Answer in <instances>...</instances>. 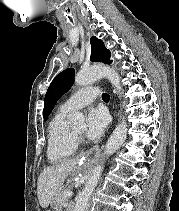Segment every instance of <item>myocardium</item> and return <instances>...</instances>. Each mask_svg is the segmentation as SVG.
I'll list each match as a JSON object with an SVG mask.
<instances>
[{
    "label": "myocardium",
    "instance_id": "f54148a6",
    "mask_svg": "<svg viewBox=\"0 0 179 211\" xmlns=\"http://www.w3.org/2000/svg\"><path fill=\"white\" fill-rule=\"evenodd\" d=\"M72 135H73L76 145H79L82 142L81 135L77 134L74 130H72Z\"/></svg>",
    "mask_w": 179,
    "mask_h": 211
}]
</instances>
